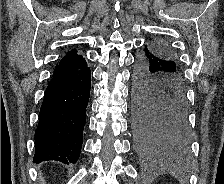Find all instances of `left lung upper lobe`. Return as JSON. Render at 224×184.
<instances>
[{
  "label": "left lung upper lobe",
  "instance_id": "left-lung-upper-lobe-1",
  "mask_svg": "<svg viewBox=\"0 0 224 184\" xmlns=\"http://www.w3.org/2000/svg\"><path fill=\"white\" fill-rule=\"evenodd\" d=\"M149 49L158 58L172 62L177 65V56L168 44L161 42L155 43L149 46ZM178 75L182 76L181 71L178 72Z\"/></svg>",
  "mask_w": 224,
  "mask_h": 184
}]
</instances>
